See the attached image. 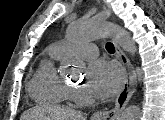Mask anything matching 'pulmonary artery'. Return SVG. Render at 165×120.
Segmentation results:
<instances>
[{
    "mask_svg": "<svg viewBox=\"0 0 165 120\" xmlns=\"http://www.w3.org/2000/svg\"><path fill=\"white\" fill-rule=\"evenodd\" d=\"M54 46L64 54L71 51H75L85 57H93L98 54V49L94 44L80 43L78 45L71 46L66 41H60L57 42Z\"/></svg>",
    "mask_w": 165,
    "mask_h": 120,
    "instance_id": "1",
    "label": "pulmonary artery"
}]
</instances>
